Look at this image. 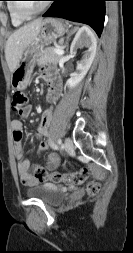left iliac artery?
Instances as JSON below:
<instances>
[{
  "label": "left iliac artery",
  "instance_id": "1",
  "mask_svg": "<svg viewBox=\"0 0 133 253\" xmlns=\"http://www.w3.org/2000/svg\"><path fill=\"white\" fill-rule=\"evenodd\" d=\"M57 143H58V145H61V143H62L61 139H59ZM56 149H58V146H56Z\"/></svg>",
  "mask_w": 133,
  "mask_h": 253
}]
</instances>
